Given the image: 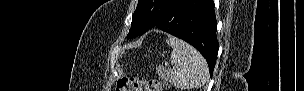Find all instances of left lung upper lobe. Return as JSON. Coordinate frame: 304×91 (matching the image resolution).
Wrapping results in <instances>:
<instances>
[{
  "instance_id": "5c2ea615",
  "label": "left lung upper lobe",
  "mask_w": 304,
  "mask_h": 91,
  "mask_svg": "<svg viewBox=\"0 0 304 91\" xmlns=\"http://www.w3.org/2000/svg\"><path fill=\"white\" fill-rule=\"evenodd\" d=\"M173 0H138L127 38L142 35L165 14Z\"/></svg>"
}]
</instances>
